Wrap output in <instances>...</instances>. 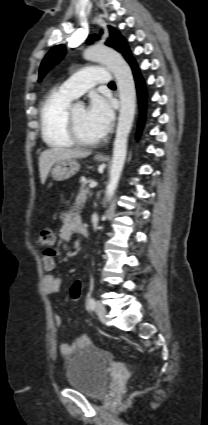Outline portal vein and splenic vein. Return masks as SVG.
I'll use <instances>...</instances> for the list:
<instances>
[{"label":"portal vein and splenic vein","instance_id":"portal-vein-and-splenic-vein-1","mask_svg":"<svg viewBox=\"0 0 208 425\" xmlns=\"http://www.w3.org/2000/svg\"><path fill=\"white\" fill-rule=\"evenodd\" d=\"M97 186V182L96 181H92V182H90V184H89V187L90 188H95Z\"/></svg>","mask_w":208,"mask_h":425}]
</instances>
